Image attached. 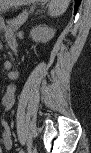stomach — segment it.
Returning <instances> with one entry per match:
<instances>
[{
  "mask_svg": "<svg viewBox=\"0 0 91 153\" xmlns=\"http://www.w3.org/2000/svg\"><path fill=\"white\" fill-rule=\"evenodd\" d=\"M33 2L32 0H16V1H11V0H0V6L1 9H5L9 4L14 3V4H28Z\"/></svg>",
  "mask_w": 91,
  "mask_h": 153,
  "instance_id": "obj_1",
  "label": "stomach"
}]
</instances>
